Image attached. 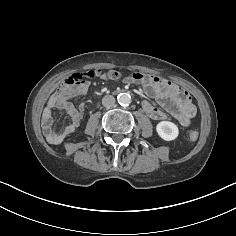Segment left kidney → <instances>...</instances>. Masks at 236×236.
Returning a JSON list of instances; mask_svg holds the SVG:
<instances>
[{
  "label": "left kidney",
  "instance_id": "left-kidney-1",
  "mask_svg": "<svg viewBox=\"0 0 236 236\" xmlns=\"http://www.w3.org/2000/svg\"><path fill=\"white\" fill-rule=\"evenodd\" d=\"M158 135L165 141H172L178 137V127L169 121H161L156 126Z\"/></svg>",
  "mask_w": 236,
  "mask_h": 236
}]
</instances>
